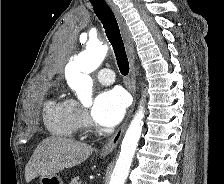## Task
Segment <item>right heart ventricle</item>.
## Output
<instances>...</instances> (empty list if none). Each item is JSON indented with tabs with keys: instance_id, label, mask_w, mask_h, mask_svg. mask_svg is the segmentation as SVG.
Masks as SVG:
<instances>
[{
	"instance_id": "1",
	"label": "right heart ventricle",
	"mask_w": 224,
	"mask_h": 184,
	"mask_svg": "<svg viewBox=\"0 0 224 184\" xmlns=\"http://www.w3.org/2000/svg\"><path fill=\"white\" fill-rule=\"evenodd\" d=\"M45 123L48 130L58 136L72 137L78 129L72 100L58 98L46 106Z\"/></svg>"
}]
</instances>
